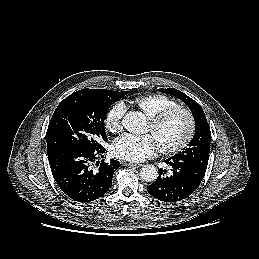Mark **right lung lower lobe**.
<instances>
[{"label": "right lung lower lobe", "instance_id": "98d812e1", "mask_svg": "<svg viewBox=\"0 0 259 259\" xmlns=\"http://www.w3.org/2000/svg\"><path fill=\"white\" fill-rule=\"evenodd\" d=\"M105 148L89 150L85 148L62 149L48 155L50 168L61 190L73 200L90 202L104 195L112 185V177L121 165L111 159L105 163L97 161L98 170L91 164L99 156L103 157Z\"/></svg>", "mask_w": 259, "mask_h": 259}]
</instances>
